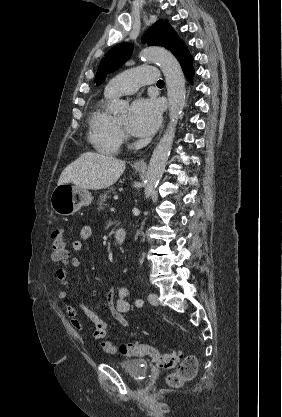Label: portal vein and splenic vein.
Returning a JSON list of instances; mask_svg holds the SVG:
<instances>
[{"label":"portal vein and splenic vein","instance_id":"portal-vein-and-splenic-vein-1","mask_svg":"<svg viewBox=\"0 0 282 417\" xmlns=\"http://www.w3.org/2000/svg\"><path fill=\"white\" fill-rule=\"evenodd\" d=\"M113 199H114V200H118V199H121V196H118V195H114V196H113Z\"/></svg>","mask_w":282,"mask_h":417}]
</instances>
